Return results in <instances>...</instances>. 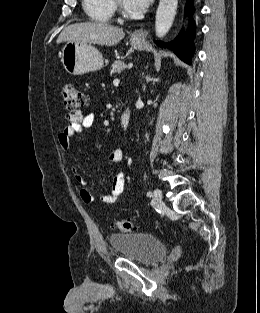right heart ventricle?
I'll list each match as a JSON object with an SVG mask.
<instances>
[{"instance_id": "1", "label": "right heart ventricle", "mask_w": 260, "mask_h": 313, "mask_svg": "<svg viewBox=\"0 0 260 313\" xmlns=\"http://www.w3.org/2000/svg\"><path fill=\"white\" fill-rule=\"evenodd\" d=\"M83 7L91 20L96 22H109L114 14L113 0H83Z\"/></svg>"}]
</instances>
